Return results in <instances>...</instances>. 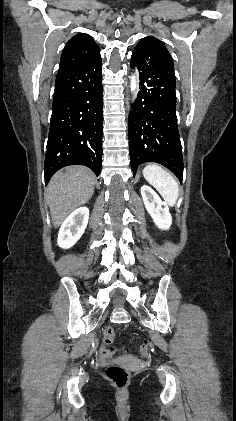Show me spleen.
<instances>
[{"instance_id": "3e777b00", "label": "spleen", "mask_w": 236, "mask_h": 421, "mask_svg": "<svg viewBox=\"0 0 236 421\" xmlns=\"http://www.w3.org/2000/svg\"><path fill=\"white\" fill-rule=\"evenodd\" d=\"M143 176L160 192L169 206L176 204L179 196V184L167 170L161 168L160 164H155V162L146 164L143 168Z\"/></svg>"}]
</instances>
